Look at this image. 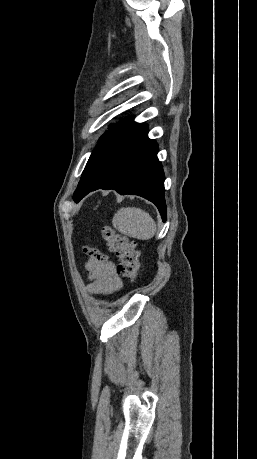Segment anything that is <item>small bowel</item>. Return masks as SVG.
I'll use <instances>...</instances> for the list:
<instances>
[{"label":"small bowel","mask_w":257,"mask_h":459,"mask_svg":"<svg viewBox=\"0 0 257 459\" xmlns=\"http://www.w3.org/2000/svg\"><path fill=\"white\" fill-rule=\"evenodd\" d=\"M89 256L85 263L88 272V290L95 295H109L122 288L115 264L100 251L87 248Z\"/></svg>","instance_id":"1"}]
</instances>
